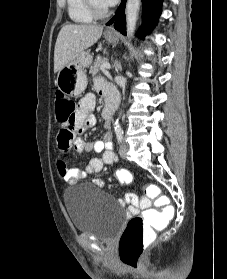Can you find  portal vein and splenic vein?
Wrapping results in <instances>:
<instances>
[{
  "label": "portal vein and splenic vein",
  "instance_id": "obj_1",
  "mask_svg": "<svg viewBox=\"0 0 227 279\" xmlns=\"http://www.w3.org/2000/svg\"><path fill=\"white\" fill-rule=\"evenodd\" d=\"M110 68H111L110 64H109V63H105V64H103L101 70H102L103 72H105L106 70H108V69H110Z\"/></svg>",
  "mask_w": 227,
  "mask_h": 279
}]
</instances>
